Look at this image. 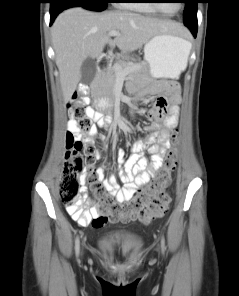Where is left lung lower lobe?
Wrapping results in <instances>:
<instances>
[{
    "mask_svg": "<svg viewBox=\"0 0 239 296\" xmlns=\"http://www.w3.org/2000/svg\"><path fill=\"white\" fill-rule=\"evenodd\" d=\"M186 26L190 29V31L192 32L193 36L196 37V35H197V28H198L197 23H189Z\"/></svg>",
    "mask_w": 239,
    "mask_h": 296,
    "instance_id": "1",
    "label": "left lung lower lobe"
}]
</instances>
